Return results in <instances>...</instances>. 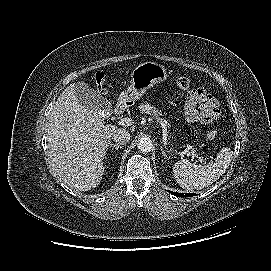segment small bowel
<instances>
[{"instance_id": "obj_1", "label": "small bowel", "mask_w": 271, "mask_h": 271, "mask_svg": "<svg viewBox=\"0 0 271 271\" xmlns=\"http://www.w3.org/2000/svg\"><path fill=\"white\" fill-rule=\"evenodd\" d=\"M219 116L218 102L204 88H194L187 94L185 118L188 122L208 124Z\"/></svg>"}]
</instances>
